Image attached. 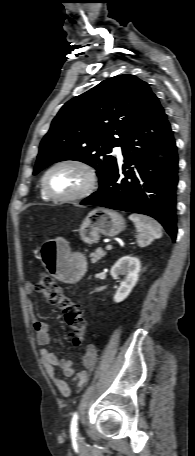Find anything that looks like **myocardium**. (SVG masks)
<instances>
[{"label":"myocardium","mask_w":195,"mask_h":456,"mask_svg":"<svg viewBox=\"0 0 195 456\" xmlns=\"http://www.w3.org/2000/svg\"><path fill=\"white\" fill-rule=\"evenodd\" d=\"M65 165H73L81 168L84 170V172L87 175V183L84 186L82 190L75 194L71 195H66V196H61V195H56L52 193L47 185V178L49 174L56 168L60 166H65ZM98 184V176L95 168L89 164L86 161L80 160V159H64L61 161L56 162L52 166H50L46 172L44 173L42 180H41V188L45 196L53 201L57 202H70V201H77V200H82L89 195L92 194V192L95 190L96 186Z\"/></svg>","instance_id":"obj_1"}]
</instances>
